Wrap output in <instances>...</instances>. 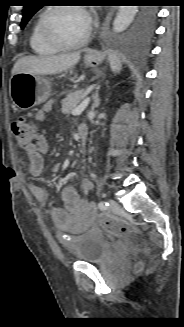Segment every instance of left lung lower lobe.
Instances as JSON below:
<instances>
[{
	"label": "left lung lower lobe",
	"instance_id": "1",
	"mask_svg": "<svg viewBox=\"0 0 184 327\" xmlns=\"http://www.w3.org/2000/svg\"><path fill=\"white\" fill-rule=\"evenodd\" d=\"M156 15V11L152 7H145L137 24L124 35L113 39V48L125 53L146 52L150 37L154 31Z\"/></svg>",
	"mask_w": 184,
	"mask_h": 327
}]
</instances>
